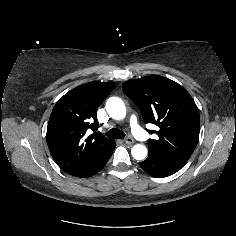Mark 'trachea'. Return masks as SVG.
<instances>
[{
  "label": "trachea",
  "instance_id": "1",
  "mask_svg": "<svg viewBox=\"0 0 236 236\" xmlns=\"http://www.w3.org/2000/svg\"><path fill=\"white\" fill-rule=\"evenodd\" d=\"M107 136L110 138L121 139L125 137V133L118 128H112L107 132Z\"/></svg>",
  "mask_w": 236,
  "mask_h": 236
}]
</instances>
